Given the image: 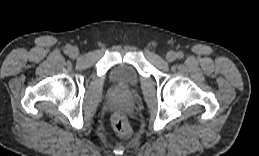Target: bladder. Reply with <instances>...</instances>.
Listing matches in <instances>:
<instances>
[{
    "mask_svg": "<svg viewBox=\"0 0 259 156\" xmlns=\"http://www.w3.org/2000/svg\"><path fill=\"white\" fill-rule=\"evenodd\" d=\"M111 82L127 89H136L139 85L137 71L128 64H121L113 68L110 74Z\"/></svg>",
    "mask_w": 259,
    "mask_h": 156,
    "instance_id": "bladder-1",
    "label": "bladder"
}]
</instances>
